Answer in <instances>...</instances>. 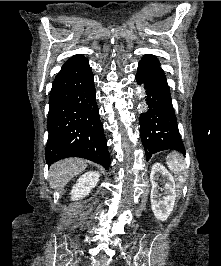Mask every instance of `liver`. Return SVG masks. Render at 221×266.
<instances>
[{
  "instance_id": "liver-1",
  "label": "liver",
  "mask_w": 221,
  "mask_h": 266,
  "mask_svg": "<svg viewBox=\"0 0 221 266\" xmlns=\"http://www.w3.org/2000/svg\"><path fill=\"white\" fill-rule=\"evenodd\" d=\"M86 167L87 161L80 158L58 161L50 167L51 188L62 190L73 177L84 171Z\"/></svg>"
}]
</instances>
